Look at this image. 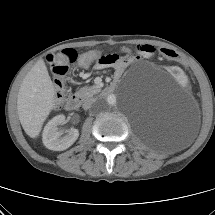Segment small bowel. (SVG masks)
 <instances>
[{"instance_id": "1", "label": "small bowel", "mask_w": 215, "mask_h": 215, "mask_svg": "<svg viewBox=\"0 0 215 215\" xmlns=\"http://www.w3.org/2000/svg\"><path fill=\"white\" fill-rule=\"evenodd\" d=\"M155 56H156V48L152 45L143 44L138 46L137 48V57H133L129 55L119 57L116 54L106 55L101 57L98 60L95 67L97 69L113 67L115 69L116 74L120 75L135 60L141 59V58H153ZM82 66H86V65H82Z\"/></svg>"}]
</instances>
